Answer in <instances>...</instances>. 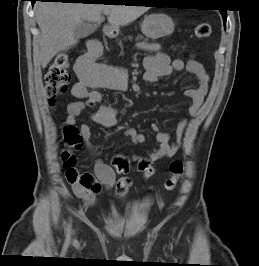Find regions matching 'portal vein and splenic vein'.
<instances>
[{
  "mask_svg": "<svg viewBox=\"0 0 259 266\" xmlns=\"http://www.w3.org/2000/svg\"><path fill=\"white\" fill-rule=\"evenodd\" d=\"M104 14H105V15H108V14H109V11H105Z\"/></svg>",
  "mask_w": 259,
  "mask_h": 266,
  "instance_id": "obj_1",
  "label": "portal vein and splenic vein"
}]
</instances>
